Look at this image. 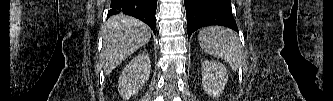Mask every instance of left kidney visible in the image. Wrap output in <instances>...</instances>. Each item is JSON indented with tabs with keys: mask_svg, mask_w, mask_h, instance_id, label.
I'll list each match as a JSON object with an SVG mask.
<instances>
[{
	"mask_svg": "<svg viewBox=\"0 0 333 101\" xmlns=\"http://www.w3.org/2000/svg\"><path fill=\"white\" fill-rule=\"evenodd\" d=\"M201 67L204 91L214 97L220 96L228 81V71L226 67L217 61H204Z\"/></svg>",
	"mask_w": 333,
	"mask_h": 101,
	"instance_id": "obj_1",
	"label": "left kidney"
}]
</instances>
